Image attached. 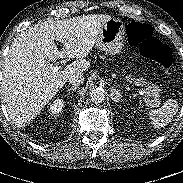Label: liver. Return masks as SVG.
Wrapping results in <instances>:
<instances>
[{"label": "liver", "instance_id": "obj_1", "mask_svg": "<svg viewBox=\"0 0 183 183\" xmlns=\"http://www.w3.org/2000/svg\"><path fill=\"white\" fill-rule=\"evenodd\" d=\"M110 19V15L91 14L48 20L29 27L14 39L3 65L1 91L9 116L18 127L34 120L70 75L83 74L89 68L83 58ZM54 40L64 44V51L58 50ZM66 56L77 60L63 70H50L51 62Z\"/></svg>", "mask_w": 183, "mask_h": 183}]
</instances>
